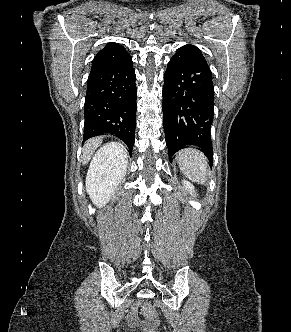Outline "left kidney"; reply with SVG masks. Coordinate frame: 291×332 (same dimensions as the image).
Masks as SVG:
<instances>
[{
    "mask_svg": "<svg viewBox=\"0 0 291 332\" xmlns=\"http://www.w3.org/2000/svg\"><path fill=\"white\" fill-rule=\"evenodd\" d=\"M183 184H184L185 190L189 191L191 194H192V192H194V186L190 182L183 180Z\"/></svg>",
    "mask_w": 291,
    "mask_h": 332,
    "instance_id": "1",
    "label": "left kidney"
}]
</instances>
